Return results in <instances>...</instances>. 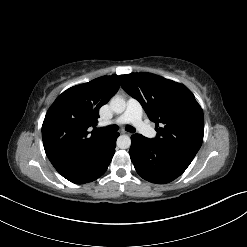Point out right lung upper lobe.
I'll use <instances>...</instances> for the list:
<instances>
[{
	"instance_id": "obj_1",
	"label": "right lung upper lobe",
	"mask_w": 247,
	"mask_h": 247,
	"mask_svg": "<svg viewBox=\"0 0 247 247\" xmlns=\"http://www.w3.org/2000/svg\"><path fill=\"white\" fill-rule=\"evenodd\" d=\"M120 77L103 76L71 87L57 97L42 125L43 145L55 168L87 156L108 133L94 129L99 109L118 91Z\"/></svg>"
}]
</instances>
